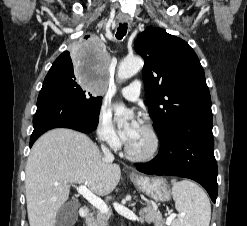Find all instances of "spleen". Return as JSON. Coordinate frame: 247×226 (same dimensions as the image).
Masks as SVG:
<instances>
[{"instance_id":"1","label":"spleen","mask_w":247,"mask_h":226,"mask_svg":"<svg viewBox=\"0 0 247 226\" xmlns=\"http://www.w3.org/2000/svg\"><path fill=\"white\" fill-rule=\"evenodd\" d=\"M171 182L175 207L179 212L172 226H209L211 205L206 193L188 180L173 179Z\"/></svg>"}]
</instances>
